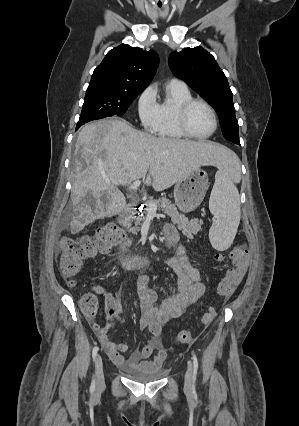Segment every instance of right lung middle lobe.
Masks as SVG:
<instances>
[{"label": "right lung middle lobe", "instance_id": "obj_1", "mask_svg": "<svg viewBox=\"0 0 299 426\" xmlns=\"http://www.w3.org/2000/svg\"><path fill=\"white\" fill-rule=\"evenodd\" d=\"M142 91H125L103 85H89L80 121L91 118L122 116Z\"/></svg>", "mask_w": 299, "mask_h": 426}]
</instances>
